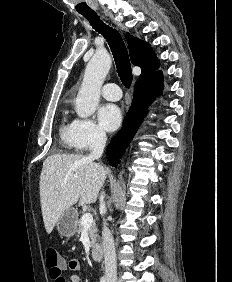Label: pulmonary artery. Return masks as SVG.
<instances>
[{
  "label": "pulmonary artery",
  "instance_id": "pulmonary-artery-1",
  "mask_svg": "<svg viewBox=\"0 0 232 282\" xmlns=\"http://www.w3.org/2000/svg\"><path fill=\"white\" fill-rule=\"evenodd\" d=\"M102 96L110 101H117L121 98L122 92L120 87L115 83H107L101 89Z\"/></svg>",
  "mask_w": 232,
  "mask_h": 282
}]
</instances>
